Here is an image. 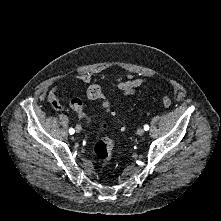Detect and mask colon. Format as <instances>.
<instances>
[{"label": "colon", "instance_id": "obj_1", "mask_svg": "<svg viewBox=\"0 0 221 221\" xmlns=\"http://www.w3.org/2000/svg\"><path fill=\"white\" fill-rule=\"evenodd\" d=\"M87 96L92 99H99L102 102L103 108L114 114V111L111 108L110 101L105 97L101 88L98 85H91L87 88ZM160 102L165 107H170L172 101L169 96L162 95L160 97ZM71 108L77 113L78 117L84 121H89V117L87 116L83 104L81 100L75 98L70 103ZM114 148V141L108 137L104 136L102 139L98 140L94 145V153L96 157L99 159L103 166L107 165L111 159L112 152Z\"/></svg>", "mask_w": 221, "mask_h": 221}]
</instances>
